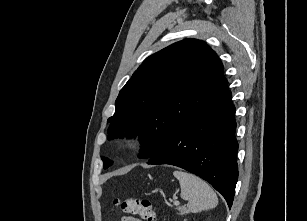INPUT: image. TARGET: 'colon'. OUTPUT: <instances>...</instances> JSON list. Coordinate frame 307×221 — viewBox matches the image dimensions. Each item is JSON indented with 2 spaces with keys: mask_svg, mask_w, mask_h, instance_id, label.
I'll list each match as a JSON object with an SVG mask.
<instances>
[{
  "mask_svg": "<svg viewBox=\"0 0 307 221\" xmlns=\"http://www.w3.org/2000/svg\"><path fill=\"white\" fill-rule=\"evenodd\" d=\"M114 203L123 211L131 215L139 216L146 221H154L156 218V207L149 200L126 198L116 199Z\"/></svg>",
  "mask_w": 307,
  "mask_h": 221,
  "instance_id": "5ec220e1",
  "label": "colon"
}]
</instances>
